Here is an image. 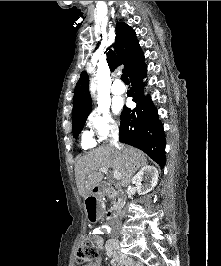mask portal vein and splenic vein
Listing matches in <instances>:
<instances>
[{
	"label": "portal vein and splenic vein",
	"instance_id": "18ae733b",
	"mask_svg": "<svg viewBox=\"0 0 221 266\" xmlns=\"http://www.w3.org/2000/svg\"><path fill=\"white\" fill-rule=\"evenodd\" d=\"M99 171L103 172V173H106L108 171V167H101L99 169ZM113 175H114V178L116 180H120L121 179V174L117 170H114Z\"/></svg>",
	"mask_w": 221,
	"mask_h": 266
}]
</instances>
